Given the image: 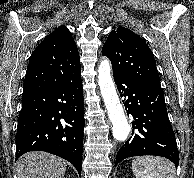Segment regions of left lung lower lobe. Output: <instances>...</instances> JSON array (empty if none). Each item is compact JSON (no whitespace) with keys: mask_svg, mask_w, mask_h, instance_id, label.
<instances>
[{"mask_svg":"<svg viewBox=\"0 0 194 178\" xmlns=\"http://www.w3.org/2000/svg\"><path fill=\"white\" fill-rule=\"evenodd\" d=\"M114 80L121 97H128L125 108L134 118L133 134L118 151L115 165L132 156L156 155L177 166L179 153L163 90L119 75H114Z\"/></svg>","mask_w":194,"mask_h":178,"instance_id":"obj_1","label":"left lung lower lobe"}]
</instances>
